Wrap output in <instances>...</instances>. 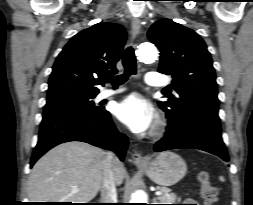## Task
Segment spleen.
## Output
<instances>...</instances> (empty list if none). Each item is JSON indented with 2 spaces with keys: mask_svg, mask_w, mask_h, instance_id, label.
<instances>
[{
  "mask_svg": "<svg viewBox=\"0 0 253 205\" xmlns=\"http://www.w3.org/2000/svg\"><path fill=\"white\" fill-rule=\"evenodd\" d=\"M220 180H221V181H224V178H223V176H220Z\"/></svg>",
  "mask_w": 253,
  "mask_h": 205,
  "instance_id": "3e777b00",
  "label": "spleen"
}]
</instances>
